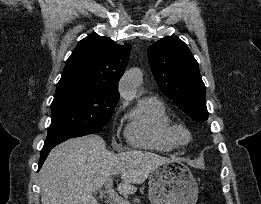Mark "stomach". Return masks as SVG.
Masks as SVG:
<instances>
[{
    "mask_svg": "<svg viewBox=\"0 0 261 204\" xmlns=\"http://www.w3.org/2000/svg\"><path fill=\"white\" fill-rule=\"evenodd\" d=\"M151 204H196L198 186L194 176L181 161H170L157 166L149 175Z\"/></svg>",
    "mask_w": 261,
    "mask_h": 204,
    "instance_id": "0dacf381",
    "label": "stomach"
}]
</instances>
